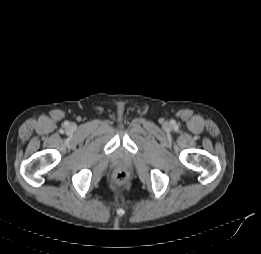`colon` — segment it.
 <instances>
[{"label": "colon", "instance_id": "1", "mask_svg": "<svg viewBox=\"0 0 261 254\" xmlns=\"http://www.w3.org/2000/svg\"><path fill=\"white\" fill-rule=\"evenodd\" d=\"M128 173L126 171H119L113 176V183L116 186H123L128 181Z\"/></svg>", "mask_w": 261, "mask_h": 254}]
</instances>
